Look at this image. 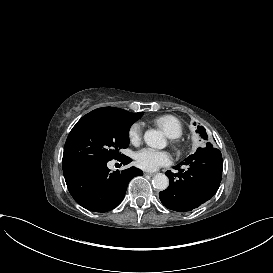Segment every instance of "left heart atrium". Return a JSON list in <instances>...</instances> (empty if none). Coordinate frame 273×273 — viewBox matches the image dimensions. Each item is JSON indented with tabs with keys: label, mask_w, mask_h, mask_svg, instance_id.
<instances>
[{
	"label": "left heart atrium",
	"mask_w": 273,
	"mask_h": 273,
	"mask_svg": "<svg viewBox=\"0 0 273 273\" xmlns=\"http://www.w3.org/2000/svg\"><path fill=\"white\" fill-rule=\"evenodd\" d=\"M137 164L146 170H156L162 165L170 163L171 156L167 151L145 147L137 153Z\"/></svg>",
	"instance_id": "obj_1"
}]
</instances>
